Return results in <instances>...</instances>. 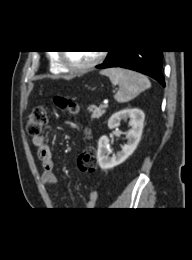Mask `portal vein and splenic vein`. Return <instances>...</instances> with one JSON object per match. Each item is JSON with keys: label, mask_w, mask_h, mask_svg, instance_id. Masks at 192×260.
I'll return each mask as SVG.
<instances>
[{"label": "portal vein and splenic vein", "mask_w": 192, "mask_h": 260, "mask_svg": "<svg viewBox=\"0 0 192 260\" xmlns=\"http://www.w3.org/2000/svg\"><path fill=\"white\" fill-rule=\"evenodd\" d=\"M103 106H104V107H107V106H108V103H105Z\"/></svg>", "instance_id": "obj_1"}]
</instances>
